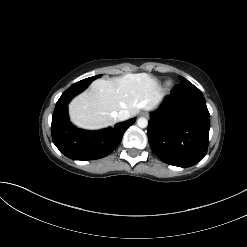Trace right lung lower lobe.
Here are the masks:
<instances>
[{"label": "right lung lower lobe", "mask_w": 247, "mask_h": 247, "mask_svg": "<svg viewBox=\"0 0 247 247\" xmlns=\"http://www.w3.org/2000/svg\"><path fill=\"white\" fill-rule=\"evenodd\" d=\"M89 84L77 82L69 87L57 101L52 116L53 143L61 153L73 160H94L107 156L116 149L124 132L136 120L132 118L116 124L114 128L100 131H85L74 127L69 122L67 105Z\"/></svg>", "instance_id": "1"}]
</instances>
